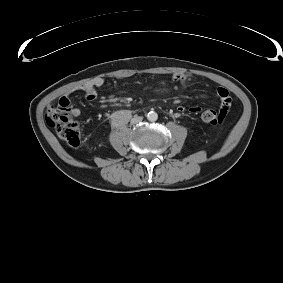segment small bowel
Returning <instances> with one entry per match:
<instances>
[{
  "label": "small bowel",
  "mask_w": 283,
  "mask_h": 283,
  "mask_svg": "<svg viewBox=\"0 0 283 283\" xmlns=\"http://www.w3.org/2000/svg\"><path fill=\"white\" fill-rule=\"evenodd\" d=\"M190 80V76L185 73H174L171 76V82L173 83H180L181 85L185 86L187 82ZM104 84V80L102 78H95L90 81H87L78 87L74 88L71 93L82 92L87 100L93 101L97 97V89ZM217 95L221 102L220 109L228 110L231 105L230 95L227 89L220 87L217 89ZM178 113H184L188 111L192 114H198L202 110L200 106L194 105L186 109L183 106L178 107ZM71 114L73 117H79L81 115V111L79 108H73L71 110Z\"/></svg>",
  "instance_id": "1"
}]
</instances>
